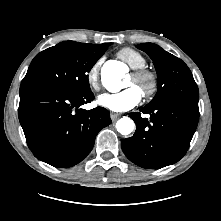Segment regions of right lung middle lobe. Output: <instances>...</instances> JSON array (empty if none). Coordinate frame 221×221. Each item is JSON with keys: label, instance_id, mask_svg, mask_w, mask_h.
<instances>
[{"label": "right lung middle lobe", "instance_id": "1", "mask_svg": "<svg viewBox=\"0 0 221 221\" xmlns=\"http://www.w3.org/2000/svg\"><path fill=\"white\" fill-rule=\"evenodd\" d=\"M110 45L61 42L35 56L21 85L46 84L74 93L90 91L88 73Z\"/></svg>", "mask_w": 221, "mask_h": 221}]
</instances>
